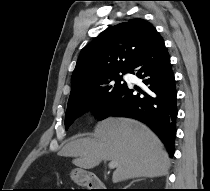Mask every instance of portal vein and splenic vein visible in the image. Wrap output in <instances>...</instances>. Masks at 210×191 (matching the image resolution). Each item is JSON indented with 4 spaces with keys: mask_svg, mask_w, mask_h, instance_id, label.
<instances>
[{
    "mask_svg": "<svg viewBox=\"0 0 210 191\" xmlns=\"http://www.w3.org/2000/svg\"><path fill=\"white\" fill-rule=\"evenodd\" d=\"M117 162L116 161H110L109 162V164H108V167L110 168V169H114V168H116L117 167Z\"/></svg>",
    "mask_w": 210,
    "mask_h": 191,
    "instance_id": "18ae733b",
    "label": "portal vein and splenic vein"
}]
</instances>
